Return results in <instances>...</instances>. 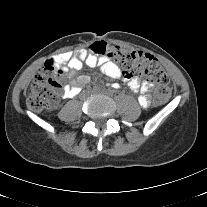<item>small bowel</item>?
<instances>
[{"instance_id":"1","label":"small bowel","mask_w":207,"mask_h":207,"mask_svg":"<svg viewBox=\"0 0 207 207\" xmlns=\"http://www.w3.org/2000/svg\"><path fill=\"white\" fill-rule=\"evenodd\" d=\"M102 43L95 42L93 45ZM91 45L90 52L85 49H80L74 55L71 52H64L52 57L60 68L62 73H69V83L62 87V96L65 98H72L76 96L82 88L89 83L90 77L88 75H79L74 77V72L80 70L83 65L88 67H99L102 74L111 78H123L128 82V86L132 92H141L138 97L139 104L143 108H148L151 103V97L148 94L151 89L146 83H142L137 77L125 78L120 67L108 58L106 55L96 54L93 52ZM105 89L122 92L125 89L124 84L115 81H107L104 84Z\"/></svg>"}]
</instances>
